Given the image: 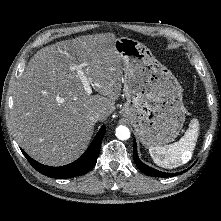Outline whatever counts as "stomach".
I'll list each match as a JSON object with an SVG mask.
<instances>
[{"label":"stomach","instance_id":"0dacf381","mask_svg":"<svg viewBox=\"0 0 221 221\" xmlns=\"http://www.w3.org/2000/svg\"><path fill=\"white\" fill-rule=\"evenodd\" d=\"M113 46L121 56L126 103L123 116L132 124L146 147L172 142L185 121L182 87L142 43L116 38Z\"/></svg>","mask_w":221,"mask_h":221}]
</instances>
